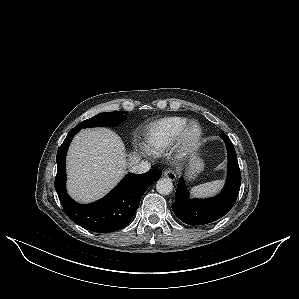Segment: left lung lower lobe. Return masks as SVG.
Returning <instances> with one entry per match:
<instances>
[{"label":"left lung lower lobe","mask_w":299,"mask_h":299,"mask_svg":"<svg viewBox=\"0 0 299 299\" xmlns=\"http://www.w3.org/2000/svg\"><path fill=\"white\" fill-rule=\"evenodd\" d=\"M223 137L228 150V175L222 192L209 199H190L181 177L175 193L172 210L184 223L189 225H204L214 222L226 215L237 199L241 184V174L236 152L230 139Z\"/></svg>","instance_id":"obj_1"}]
</instances>
